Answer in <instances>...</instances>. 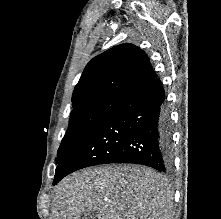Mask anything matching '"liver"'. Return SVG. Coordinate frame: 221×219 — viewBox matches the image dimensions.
Masks as SVG:
<instances>
[{"instance_id":"1","label":"liver","mask_w":221,"mask_h":219,"mask_svg":"<svg viewBox=\"0 0 221 219\" xmlns=\"http://www.w3.org/2000/svg\"><path fill=\"white\" fill-rule=\"evenodd\" d=\"M173 194L162 176L147 167L119 165L86 168L55 188L53 219H171Z\"/></svg>"}]
</instances>
